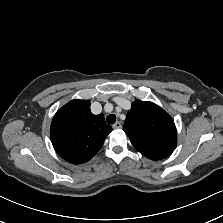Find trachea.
I'll return each instance as SVG.
<instances>
[{
    "mask_svg": "<svg viewBox=\"0 0 223 223\" xmlns=\"http://www.w3.org/2000/svg\"><path fill=\"white\" fill-rule=\"evenodd\" d=\"M107 123L114 124L116 122L115 114H109L106 118Z\"/></svg>",
    "mask_w": 223,
    "mask_h": 223,
    "instance_id": "1",
    "label": "trachea"
}]
</instances>
